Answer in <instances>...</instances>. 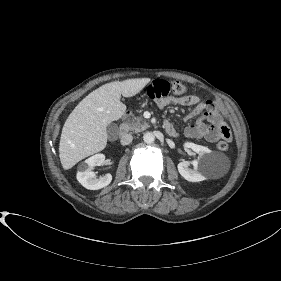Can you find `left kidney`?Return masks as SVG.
<instances>
[{
  "mask_svg": "<svg viewBox=\"0 0 281 281\" xmlns=\"http://www.w3.org/2000/svg\"><path fill=\"white\" fill-rule=\"evenodd\" d=\"M185 147L191 148L194 152L198 154V159L192 161L194 169L188 167L189 163L186 161L180 162L178 164V171L180 175L190 182H200L206 179V176L210 173L211 150L207 147L197 145L191 142L184 144Z\"/></svg>",
  "mask_w": 281,
  "mask_h": 281,
  "instance_id": "left-kidney-1",
  "label": "left kidney"
}]
</instances>
